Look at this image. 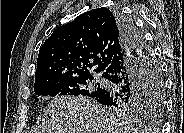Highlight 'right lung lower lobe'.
I'll return each mask as SVG.
<instances>
[{
	"label": "right lung lower lobe",
	"mask_w": 184,
	"mask_h": 133,
	"mask_svg": "<svg viewBox=\"0 0 184 133\" xmlns=\"http://www.w3.org/2000/svg\"><path fill=\"white\" fill-rule=\"evenodd\" d=\"M121 31V52L113 57L104 70L103 77L110 81V88L94 96L105 106L120 99H140L149 83L148 54L143 37L136 31L133 22L119 11L115 12Z\"/></svg>",
	"instance_id": "obj_1"
}]
</instances>
